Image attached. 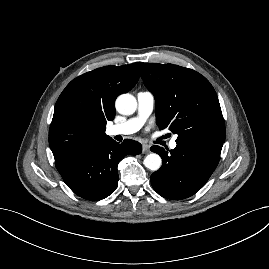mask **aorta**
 <instances>
[{
    "instance_id": "1",
    "label": "aorta",
    "mask_w": 269,
    "mask_h": 269,
    "mask_svg": "<svg viewBox=\"0 0 269 269\" xmlns=\"http://www.w3.org/2000/svg\"><path fill=\"white\" fill-rule=\"evenodd\" d=\"M115 106L120 114L131 115L136 111L137 101L131 94H122L116 99ZM144 165L152 171H157L162 165V159L158 154L150 153L145 157Z\"/></svg>"
}]
</instances>
